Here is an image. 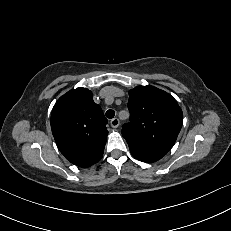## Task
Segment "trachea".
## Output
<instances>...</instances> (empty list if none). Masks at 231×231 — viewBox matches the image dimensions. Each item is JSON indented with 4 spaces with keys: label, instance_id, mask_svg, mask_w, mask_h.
<instances>
[{
    "label": "trachea",
    "instance_id": "obj_1",
    "mask_svg": "<svg viewBox=\"0 0 231 231\" xmlns=\"http://www.w3.org/2000/svg\"><path fill=\"white\" fill-rule=\"evenodd\" d=\"M114 116H115V111L114 110L109 109V110L106 111V117L107 118L111 119Z\"/></svg>",
    "mask_w": 231,
    "mask_h": 231
}]
</instances>
